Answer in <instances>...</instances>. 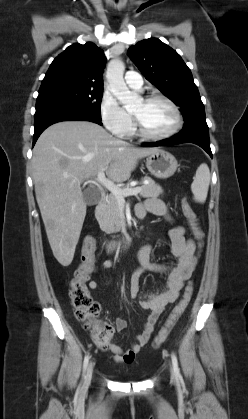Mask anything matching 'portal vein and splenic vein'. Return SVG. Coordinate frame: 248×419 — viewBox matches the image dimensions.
Wrapping results in <instances>:
<instances>
[{
	"label": "portal vein and splenic vein",
	"instance_id": "1",
	"mask_svg": "<svg viewBox=\"0 0 248 419\" xmlns=\"http://www.w3.org/2000/svg\"><path fill=\"white\" fill-rule=\"evenodd\" d=\"M99 184L103 185L108 189L115 197L120 201H124V197L137 195L141 191V187L130 188V189H121L113 181L106 178L104 170L98 172L97 178L95 179ZM94 182V181H89Z\"/></svg>",
	"mask_w": 248,
	"mask_h": 419
}]
</instances>
